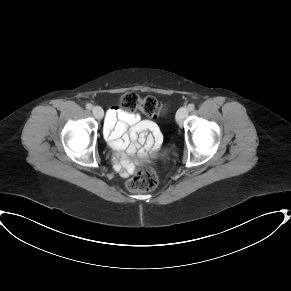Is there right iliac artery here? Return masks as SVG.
<instances>
[{"label": "right iliac artery", "mask_w": 291, "mask_h": 291, "mask_svg": "<svg viewBox=\"0 0 291 291\" xmlns=\"http://www.w3.org/2000/svg\"><path fill=\"white\" fill-rule=\"evenodd\" d=\"M92 107H93L92 104H90V103H87V104H86V108H87L88 110H91Z\"/></svg>", "instance_id": "1"}]
</instances>
